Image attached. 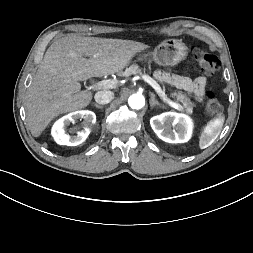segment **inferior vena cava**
I'll use <instances>...</instances> for the list:
<instances>
[{
  "label": "inferior vena cava",
  "mask_w": 253,
  "mask_h": 253,
  "mask_svg": "<svg viewBox=\"0 0 253 253\" xmlns=\"http://www.w3.org/2000/svg\"><path fill=\"white\" fill-rule=\"evenodd\" d=\"M114 98V93L112 91L103 90L98 91L94 99L98 104H108Z\"/></svg>",
  "instance_id": "obj_1"
}]
</instances>
